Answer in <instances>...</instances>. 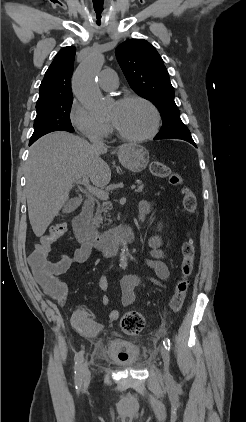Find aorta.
I'll return each instance as SVG.
<instances>
[{
    "label": "aorta",
    "mask_w": 246,
    "mask_h": 422,
    "mask_svg": "<svg viewBox=\"0 0 246 422\" xmlns=\"http://www.w3.org/2000/svg\"><path fill=\"white\" fill-rule=\"evenodd\" d=\"M103 62L102 54H92L75 71L72 81L75 96L95 116L104 115L107 109L97 86V78ZM120 263L124 267L127 266L124 253L120 255Z\"/></svg>",
    "instance_id": "1"
}]
</instances>
